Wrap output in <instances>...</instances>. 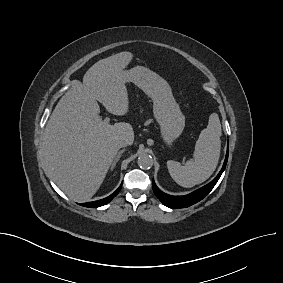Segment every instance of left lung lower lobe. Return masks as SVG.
I'll use <instances>...</instances> for the list:
<instances>
[{
    "mask_svg": "<svg viewBox=\"0 0 283 283\" xmlns=\"http://www.w3.org/2000/svg\"><path fill=\"white\" fill-rule=\"evenodd\" d=\"M228 150H229V143L227 147V153L225 157V161L223 164L222 169L220 170L219 174L207 185L204 187L188 194L185 196H171L162 192L155 184L154 180L152 181L153 191L156 197L167 207L169 208H186L189 207L200 200H202L205 196L209 194V192L213 189L217 181L219 180L221 174L223 173L227 160H228Z\"/></svg>",
    "mask_w": 283,
    "mask_h": 283,
    "instance_id": "0a47b994",
    "label": "left lung lower lobe"
}]
</instances>
